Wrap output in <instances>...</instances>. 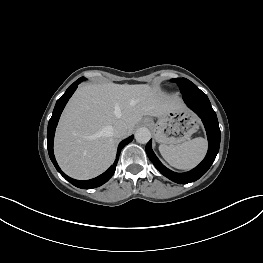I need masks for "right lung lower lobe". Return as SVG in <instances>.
Instances as JSON below:
<instances>
[{
    "instance_id": "right-lung-lower-lobe-1",
    "label": "right lung lower lobe",
    "mask_w": 263,
    "mask_h": 263,
    "mask_svg": "<svg viewBox=\"0 0 263 263\" xmlns=\"http://www.w3.org/2000/svg\"><path fill=\"white\" fill-rule=\"evenodd\" d=\"M81 81H83L82 77L79 78L77 81H75L66 90V92L57 100L53 114H52V117L48 123V130H47V142H48V144H47V146H48V153H49V156H50L52 163L54 164L57 171L66 180H68L71 184H73L74 186H76L78 188L92 189V188H96V187L103 185L113 176L115 169H116L118 159H119L120 152L125 145H127L128 143H130L133 140V135L128 137L127 139L123 140L119 144L116 159H115L113 165H111L107 171H105L103 174L99 175L98 177L90 179V180H86V181H81V180L72 179L69 176H67L65 173L62 172V170L59 168V166L55 160L54 153H53V140H54L55 128L57 126V123H58V120H59V117L61 115L63 108L65 107L67 101L72 96V94L74 93L78 84Z\"/></svg>"
}]
</instances>
